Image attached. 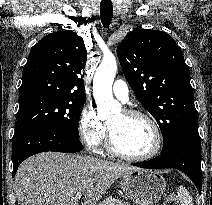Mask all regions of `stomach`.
<instances>
[{
	"mask_svg": "<svg viewBox=\"0 0 212 205\" xmlns=\"http://www.w3.org/2000/svg\"><path fill=\"white\" fill-rule=\"evenodd\" d=\"M120 185L126 198L136 205H153L165 192L166 181L155 171L136 169L121 176Z\"/></svg>",
	"mask_w": 212,
	"mask_h": 205,
	"instance_id": "obj_1",
	"label": "stomach"
}]
</instances>
